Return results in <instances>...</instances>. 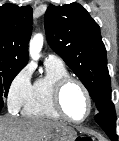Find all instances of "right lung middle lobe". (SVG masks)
<instances>
[{
  "label": "right lung middle lobe",
  "instance_id": "obj_1",
  "mask_svg": "<svg viewBox=\"0 0 119 141\" xmlns=\"http://www.w3.org/2000/svg\"><path fill=\"white\" fill-rule=\"evenodd\" d=\"M19 72L20 70H0V110L4 105L3 96L8 95L11 82Z\"/></svg>",
  "mask_w": 119,
  "mask_h": 141
}]
</instances>
